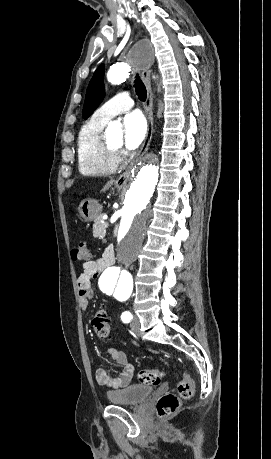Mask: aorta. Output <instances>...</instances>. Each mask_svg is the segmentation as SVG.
Wrapping results in <instances>:
<instances>
[{
	"instance_id": "762f6f07",
	"label": "aorta",
	"mask_w": 271,
	"mask_h": 459,
	"mask_svg": "<svg viewBox=\"0 0 271 459\" xmlns=\"http://www.w3.org/2000/svg\"><path fill=\"white\" fill-rule=\"evenodd\" d=\"M150 57V47L141 43L133 49L131 63L140 65ZM130 71L128 63H117L109 69L107 79L113 85L121 84L129 77ZM119 129L117 124L109 126V132ZM156 163L154 155H147L132 170V182L122 197L119 211L121 219L117 236V256L108 263L99 278L100 290L107 295L127 296L133 290V277L127 267L137 258L152 214L150 200L159 178V167Z\"/></svg>"
}]
</instances>
